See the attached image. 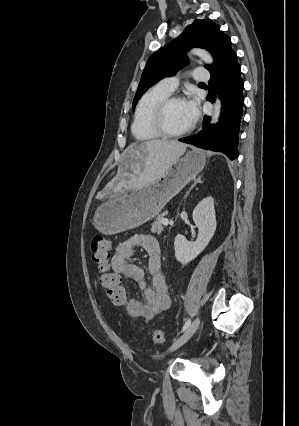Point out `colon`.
Returning <instances> with one entry per match:
<instances>
[{
	"label": "colon",
	"mask_w": 299,
	"mask_h": 426,
	"mask_svg": "<svg viewBox=\"0 0 299 426\" xmlns=\"http://www.w3.org/2000/svg\"><path fill=\"white\" fill-rule=\"evenodd\" d=\"M91 253L93 262L98 266L100 283L107 297L114 305L123 306L127 299V290L120 276L111 268V242L103 235H95L91 241ZM152 340L155 344H163L166 342V336L162 331L154 330Z\"/></svg>",
	"instance_id": "colon-1"
}]
</instances>
